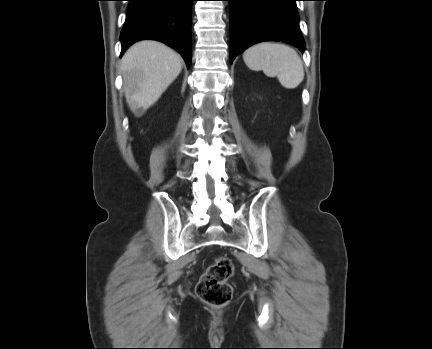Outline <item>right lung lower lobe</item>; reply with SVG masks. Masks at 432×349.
Masks as SVG:
<instances>
[{
  "label": "right lung lower lobe",
  "mask_w": 432,
  "mask_h": 349,
  "mask_svg": "<svg viewBox=\"0 0 432 349\" xmlns=\"http://www.w3.org/2000/svg\"><path fill=\"white\" fill-rule=\"evenodd\" d=\"M128 14L121 32V56L134 42L161 41L191 62V7L194 0H128Z\"/></svg>",
  "instance_id": "98d812e1"
}]
</instances>
